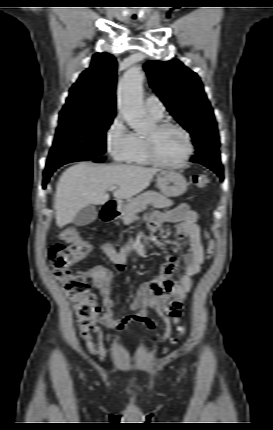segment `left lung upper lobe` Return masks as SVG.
Segmentation results:
<instances>
[{
	"mask_svg": "<svg viewBox=\"0 0 273 430\" xmlns=\"http://www.w3.org/2000/svg\"><path fill=\"white\" fill-rule=\"evenodd\" d=\"M150 86L176 120L190 132L196 153L220 146L212 107L200 78L178 60L149 61L144 66Z\"/></svg>",
	"mask_w": 273,
	"mask_h": 430,
	"instance_id": "left-lung-upper-lobe-1",
	"label": "left lung upper lobe"
}]
</instances>
